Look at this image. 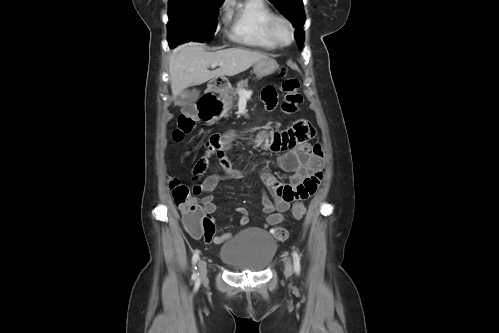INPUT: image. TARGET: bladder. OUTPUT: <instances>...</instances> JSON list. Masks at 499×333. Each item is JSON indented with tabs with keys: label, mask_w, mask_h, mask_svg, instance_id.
<instances>
[{
	"label": "bladder",
	"mask_w": 499,
	"mask_h": 333,
	"mask_svg": "<svg viewBox=\"0 0 499 333\" xmlns=\"http://www.w3.org/2000/svg\"><path fill=\"white\" fill-rule=\"evenodd\" d=\"M276 250L277 242L267 231L250 227L221 246L219 259L234 271L261 272L272 262Z\"/></svg>",
	"instance_id": "obj_1"
}]
</instances>
